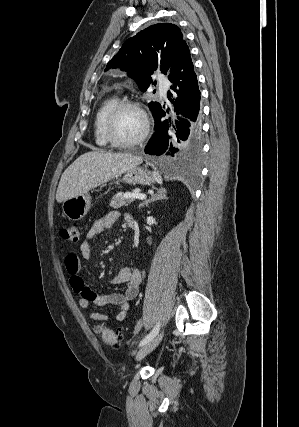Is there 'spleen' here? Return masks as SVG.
I'll use <instances>...</instances> for the list:
<instances>
[{
	"instance_id": "obj_1",
	"label": "spleen",
	"mask_w": 299,
	"mask_h": 427,
	"mask_svg": "<svg viewBox=\"0 0 299 427\" xmlns=\"http://www.w3.org/2000/svg\"><path fill=\"white\" fill-rule=\"evenodd\" d=\"M153 174L156 178V181L162 183V177L160 176V174L158 172H154Z\"/></svg>"
}]
</instances>
